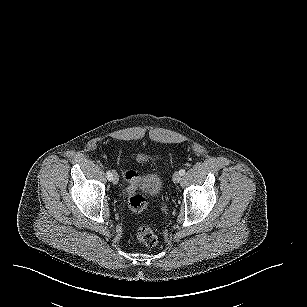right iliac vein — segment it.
I'll return each instance as SVG.
<instances>
[{"label":"right iliac vein","mask_w":307,"mask_h":307,"mask_svg":"<svg viewBox=\"0 0 307 307\" xmlns=\"http://www.w3.org/2000/svg\"><path fill=\"white\" fill-rule=\"evenodd\" d=\"M118 181H119V177H118V174L115 170L112 171V182L114 184H118Z\"/></svg>","instance_id":"1"}]
</instances>
